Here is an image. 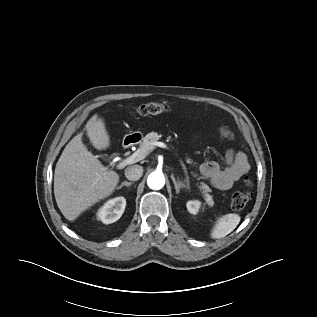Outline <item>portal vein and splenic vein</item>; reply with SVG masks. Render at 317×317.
I'll return each mask as SVG.
<instances>
[{
	"label": "portal vein and splenic vein",
	"mask_w": 317,
	"mask_h": 317,
	"mask_svg": "<svg viewBox=\"0 0 317 317\" xmlns=\"http://www.w3.org/2000/svg\"><path fill=\"white\" fill-rule=\"evenodd\" d=\"M153 146H158L161 148H165V149H169V147L163 143V142H154ZM148 155V153L145 151V149H138L136 152H134L131 156H129L127 159L121 161L119 163V167H125L127 165L133 164L135 162H138L142 159H144L146 156ZM180 164L183 167L184 171L187 172V167L185 165V163L180 159Z\"/></svg>",
	"instance_id": "portal-vein-and-splenic-vein-1"
}]
</instances>
